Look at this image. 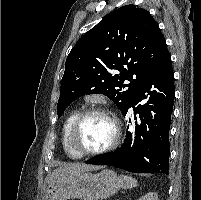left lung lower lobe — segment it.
<instances>
[{"mask_svg":"<svg viewBox=\"0 0 201 200\" xmlns=\"http://www.w3.org/2000/svg\"><path fill=\"white\" fill-rule=\"evenodd\" d=\"M174 97V73L167 51L145 77L123 113L125 116L133 107L135 130L127 132L124 144L116 151L93 157L85 163L110 165L133 173L168 175L169 128ZM142 100H147L146 104L137 105ZM136 114H139L140 125Z\"/></svg>","mask_w":201,"mask_h":200,"instance_id":"obj_1","label":"left lung lower lobe"}]
</instances>
